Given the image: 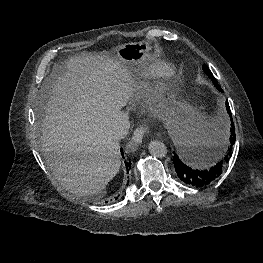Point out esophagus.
Instances as JSON below:
<instances>
[{
	"label": "esophagus",
	"instance_id": "obj_1",
	"mask_svg": "<svg viewBox=\"0 0 263 263\" xmlns=\"http://www.w3.org/2000/svg\"><path fill=\"white\" fill-rule=\"evenodd\" d=\"M149 133V127L145 124L137 127L133 133L132 143L140 144L142 142L144 134Z\"/></svg>",
	"mask_w": 263,
	"mask_h": 263
}]
</instances>
